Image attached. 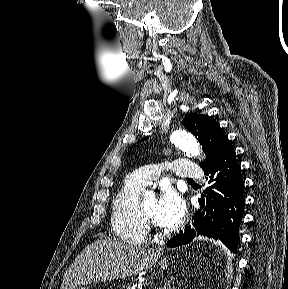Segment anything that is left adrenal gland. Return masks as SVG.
Instances as JSON below:
<instances>
[{"mask_svg":"<svg viewBox=\"0 0 288 289\" xmlns=\"http://www.w3.org/2000/svg\"><path fill=\"white\" fill-rule=\"evenodd\" d=\"M174 277H170V279L167 281L164 289H172L171 284L173 283Z\"/></svg>","mask_w":288,"mask_h":289,"instance_id":"1","label":"left adrenal gland"}]
</instances>
